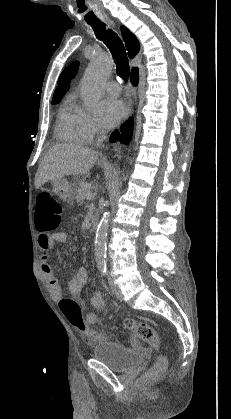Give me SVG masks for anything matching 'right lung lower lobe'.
I'll list each match as a JSON object with an SVG mask.
<instances>
[{
    "mask_svg": "<svg viewBox=\"0 0 231 419\" xmlns=\"http://www.w3.org/2000/svg\"><path fill=\"white\" fill-rule=\"evenodd\" d=\"M139 80V70L138 68L132 69L131 72V81L134 85H137ZM132 120H129L125 125L120 128L122 135L120 136L119 131L115 130L110 136V142H115L120 138V142L128 143L132 135Z\"/></svg>",
    "mask_w": 231,
    "mask_h": 419,
    "instance_id": "98d812e1",
    "label": "right lung lower lobe"
}]
</instances>
